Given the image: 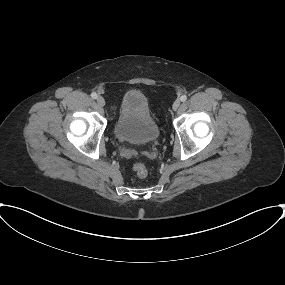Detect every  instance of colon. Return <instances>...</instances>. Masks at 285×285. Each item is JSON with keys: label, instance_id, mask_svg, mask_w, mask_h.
Returning a JSON list of instances; mask_svg holds the SVG:
<instances>
[{"label": "colon", "instance_id": "colon-1", "mask_svg": "<svg viewBox=\"0 0 285 285\" xmlns=\"http://www.w3.org/2000/svg\"><path fill=\"white\" fill-rule=\"evenodd\" d=\"M133 170L136 173V175L140 178H145L148 175V169L147 167L142 163H136L133 166Z\"/></svg>", "mask_w": 285, "mask_h": 285}]
</instances>
